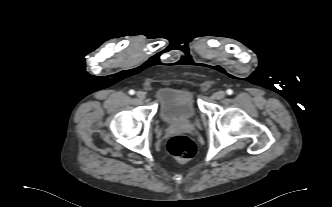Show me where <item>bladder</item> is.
Here are the masks:
<instances>
[{"label": "bladder", "instance_id": "bladder-1", "mask_svg": "<svg viewBox=\"0 0 332 207\" xmlns=\"http://www.w3.org/2000/svg\"><path fill=\"white\" fill-rule=\"evenodd\" d=\"M158 118L164 123L191 122L198 115L195 92L187 88L165 87L157 92Z\"/></svg>", "mask_w": 332, "mask_h": 207}]
</instances>
